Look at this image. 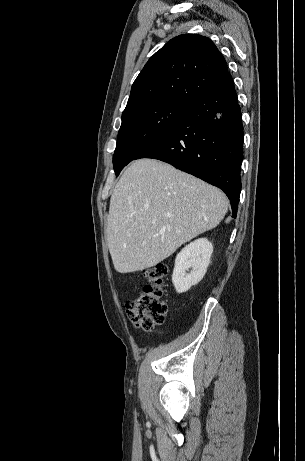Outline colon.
<instances>
[{
    "mask_svg": "<svg viewBox=\"0 0 305 461\" xmlns=\"http://www.w3.org/2000/svg\"><path fill=\"white\" fill-rule=\"evenodd\" d=\"M167 273L165 264H157L144 271L148 283L134 300L126 304V314L136 328L149 332L164 323L167 304L163 300V281Z\"/></svg>",
    "mask_w": 305,
    "mask_h": 461,
    "instance_id": "obj_1",
    "label": "colon"
}]
</instances>
